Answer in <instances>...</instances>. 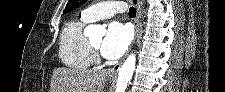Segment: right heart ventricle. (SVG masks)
Returning <instances> with one entry per match:
<instances>
[{
	"label": "right heart ventricle",
	"instance_id": "right-heart-ventricle-1",
	"mask_svg": "<svg viewBox=\"0 0 225 92\" xmlns=\"http://www.w3.org/2000/svg\"><path fill=\"white\" fill-rule=\"evenodd\" d=\"M87 23L89 21L81 15L68 21L61 31L58 55L69 67L87 69L93 63L89 40L84 35V27Z\"/></svg>",
	"mask_w": 225,
	"mask_h": 92
}]
</instances>
